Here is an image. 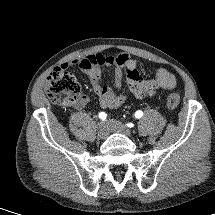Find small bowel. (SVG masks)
<instances>
[{
    "label": "small bowel",
    "mask_w": 215,
    "mask_h": 215,
    "mask_svg": "<svg viewBox=\"0 0 215 215\" xmlns=\"http://www.w3.org/2000/svg\"><path fill=\"white\" fill-rule=\"evenodd\" d=\"M106 48H111L118 52V54L116 56L105 57L102 54V50ZM135 58L148 60L159 65L155 79L143 82L130 74L136 67ZM59 64L64 68V75L70 81L75 95L74 100L65 99L62 102L64 108L69 106H84L89 101L88 95L91 91L101 98L103 105L118 104L124 100L122 95L117 96L110 87H103L100 85L102 67L104 65H115L114 77L118 85L121 84L124 72L126 70L128 71L129 77L131 78L129 81V88L137 99H150L154 95V89L161 88L172 91L177 85V73L169 71L166 68L169 66V62L166 59L130 45L117 44L106 46L97 43L95 46L87 49H76L63 57L59 61ZM73 64H78L81 71L89 77L92 84L91 89L82 86L78 82L76 76L69 72L68 68ZM177 72L180 73L185 87H192V82L189 77L179 69H177ZM178 98V93L171 92L158 107L173 108V104Z\"/></svg>",
    "instance_id": "small-bowel-1"
}]
</instances>
